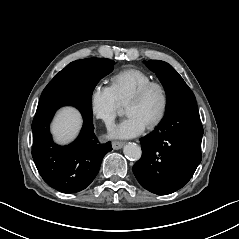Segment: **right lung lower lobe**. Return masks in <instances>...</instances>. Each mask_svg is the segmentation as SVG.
Segmentation results:
<instances>
[{"instance_id":"obj_1","label":"right lung lower lobe","mask_w":239,"mask_h":239,"mask_svg":"<svg viewBox=\"0 0 239 239\" xmlns=\"http://www.w3.org/2000/svg\"><path fill=\"white\" fill-rule=\"evenodd\" d=\"M65 105L78 108L84 124L78 138L63 147L52 141L49 124L56 110ZM32 131V157L38 172L50 187L63 193L85 189L97 175L105 154L112 150L110 142L99 144L96 140L91 97L83 92H71L39 102Z\"/></svg>"}]
</instances>
